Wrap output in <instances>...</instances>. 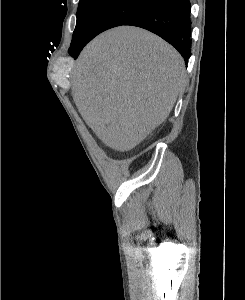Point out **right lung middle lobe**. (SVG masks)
I'll use <instances>...</instances> for the list:
<instances>
[{"mask_svg":"<svg viewBox=\"0 0 245 300\" xmlns=\"http://www.w3.org/2000/svg\"><path fill=\"white\" fill-rule=\"evenodd\" d=\"M159 0H80L70 48L83 45L99 33L124 25Z\"/></svg>","mask_w":245,"mask_h":300,"instance_id":"1","label":"right lung middle lobe"}]
</instances>
